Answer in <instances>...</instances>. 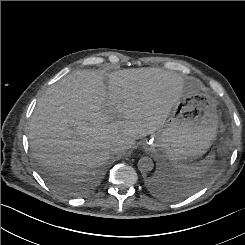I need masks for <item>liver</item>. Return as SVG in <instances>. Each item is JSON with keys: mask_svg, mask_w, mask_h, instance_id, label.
Wrapping results in <instances>:
<instances>
[{"mask_svg": "<svg viewBox=\"0 0 245 245\" xmlns=\"http://www.w3.org/2000/svg\"><path fill=\"white\" fill-rule=\"evenodd\" d=\"M79 70L51 85L29 124V144L40 164L82 175L162 128L183 96L185 79L158 68L124 69L108 77Z\"/></svg>", "mask_w": 245, "mask_h": 245, "instance_id": "1", "label": "liver"}]
</instances>
